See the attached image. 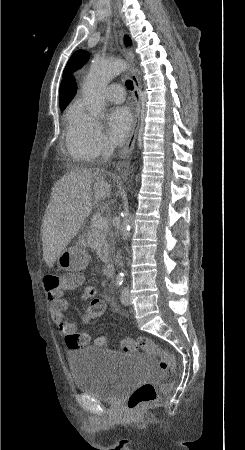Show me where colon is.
<instances>
[{"instance_id":"colon-1","label":"colon","mask_w":245,"mask_h":450,"mask_svg":"<svg viewBox=\"0 0 245 450\" xmlns=\"http://www.w3.org/2000/svg\"><path fill=\"white\" fill-rule=\"evenodd\" d=\"M83 277L80 272L72 271L62 276H53L45 279V288L47 290H60L74 287L81 283ZM104 312V304L102 301L94 300L88 307L84 315V322L89 323L92 320L99 318ZM89 336L86 332H74L67 336V343L70 346L77 347L87 344ZM125 350H133L139 348L150 354L156 356L159 368L169 374L173 375L175 370V357L171 352L164 350L158 344L154 343L148 338H127L123 344ZM171 388V383H165L162 386L164 391ZM158 392L155 386L151 383H144L139 385L130 395L128 399V408L133 413H139L141 409L158 400Z\"/></svg>"}]
</instances>
